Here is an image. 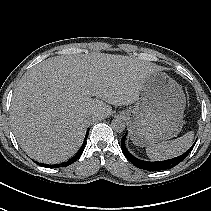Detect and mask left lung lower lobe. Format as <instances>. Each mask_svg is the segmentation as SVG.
Instances as JSON below:
<instances>
[{
    "instance_id": "left-lung-lower-lobe-1",
    "label": "left lung lower lobe",
    "mask_w": 211,
    "mask_h": 211,
    "mask_svg": "<svg viewBox=\"0 0 211 211\" xmlns=\"http://www.w3.org/2000/svg\"><path fill=\"white\" fill-rule=\"evenodd\" d=\"M125 139H126V134L121 139V148H122V152H123L124 156L137 168H140L143 170H148V171H161V170L173 168L174 166L179 164L181 161H183L188 156L191 149L195 145V143H194L189 150H187L185 153H183L182 155H180L178 157L164 160V161L149 162V161L140 160V159L134 157L132 154H130L125 146Z\"/></svg>"
}]
</instances>
